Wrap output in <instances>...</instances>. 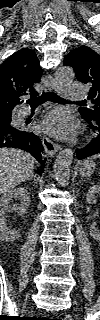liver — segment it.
<instances>
[{
    "mask_svg": "<svg viewBox=\"0 0 100 320\" xmlns=\"http://www.w3.org/2000/svg\"><path fill=\"white\" fill-rule=\"evenodd\" d=\"M34 167V158L27 152L13 149H0V193L13 189L27 180Z\"/></svg>",
    "mask_w": 100,
    "mask_h": 320,
    "instance_id": "obj_1",
    "label": "liver"
}]
</instances>
